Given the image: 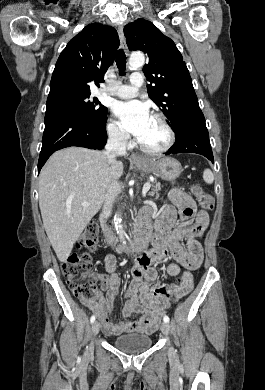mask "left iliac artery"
I'll return each instance as SVG.
<instances>
[{
  "mask_svg": "<svg viewBox=\"0 0 265 390\" xmlns=\"http://www.w3.org/2000/svg\"><path fill=\"white\" fill-rule=\"evenodd\" d=\"M169 320H170V319H169L168 316H164V318H163V321H164V322L169 323Z\"/></svg>",
  "mask_w": 265,
  "mask_h": 390,
  "instance_id": "1",
  "label": "left iliac artery"
}]
</instances>
